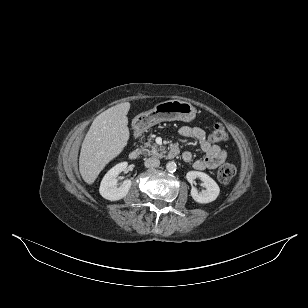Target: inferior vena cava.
Instances as JSON below:
<instances>
[{"label": "inferior vena cava", "mask_w": 308, "mask_h": 308, "mask_svg": "<svg viewBox=\"0 0 308 308\" xmlns=\"http://www.w3.org/2000/svg\"><path fill=\"white\" fill-rule=\"evenodd\" d=\"M144 165L147 168L158 167L160 165V161L156 157H150L145 160Z\"/></svg>", "instance_id": "inferior-vena-cava-1"}]
</instances>
